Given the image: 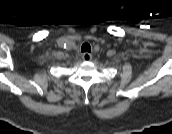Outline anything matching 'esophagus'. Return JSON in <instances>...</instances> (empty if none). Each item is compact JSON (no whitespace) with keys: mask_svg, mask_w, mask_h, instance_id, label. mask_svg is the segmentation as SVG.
Here are the masks:
<instances>
[{"mask_svg":"<svg viewBox=\"0 0 172 134\" xmlns=\"http://www.w3.org/2000/svg\"><path fill=\"white\" fill-rule=\"evenodd\" d=\"M82 59H83L84 61H91V60H92V54H90V53H88V52H85V53H83V55H82Z\"/></svg>","mask_w":172,"mask_h":134,"instance_id":"obj_1","label":"esophagus"}]
</instances>
